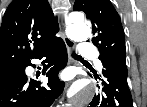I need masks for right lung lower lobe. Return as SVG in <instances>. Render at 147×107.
I'll return each instance as SVG.
<instances>
[{"label":"right lung lower lobe","instance_id":"right-lung-lower-lobe-1","mask_svg":"<svg viewBox=\"0 0 147 107\" xmlns=\"http://www.w3.org/2000/svg\"><path fill=\"white\" fill-rule=\"evenodd\" d=\"M42 58H44L42 74L48 80V88L41 87L40 81L27 78L25 67H35L29 61L21 71L0 80V107L51 106L64 89V82L58 78L59 71L67 64L64 41L58 37L32 59Z\"/></svg>","mask_w":147,"mask_h":107}]
</instances>
